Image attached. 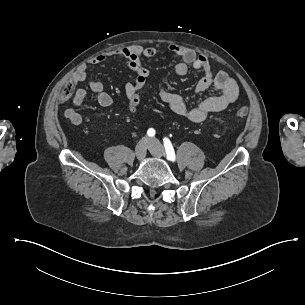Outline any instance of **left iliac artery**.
Masks as SVG:
<instances>
[{"label": "left iliac artery", "instance_id": "left-iliac-artery-1", "mask_svg": "<svg viewBox=\"0 0 305 305\" xmlns=\"http://www.w3.org/2000/svg\"><path fill=\"white\" fill-rule=\"evenodd\" d=\"M164 147L166 150L167 160L175 161V152L169 139L164 138Z\"/></svg>", "mask_w": 305, "mask_h": 305}]
</instances>
